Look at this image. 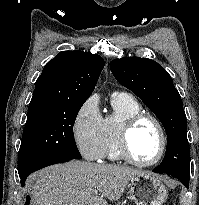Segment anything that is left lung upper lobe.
Here are the masks:
<instances>
[{"label":"left lung upper lobe","instance_id":"left-lung-upper-lobe-1","mask_svg":"<svg viewBox=\"0 0 199 205\" xmlns=\"http://www.w3.org/2000/svg\"><path fill=\"white\" fill-rule=\"evenodd\" d=\"M110 68L116 80L134 92L162 122L167 150L154 171L190 179V148L182 99L171 76L157 62L147 58L114 59Z\"/></svg>","mask_w":199,"mask_h":205}]
</instances>
